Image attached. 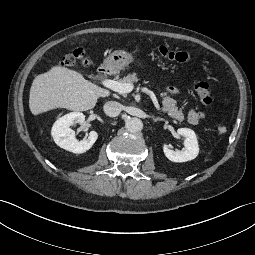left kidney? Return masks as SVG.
I'll use <instances>...</instances> for the list:
<instances>
[{"mask_svg": "<svg viewBox=\"0 0 255 255\" xmlns=\"http://www.w3.org/2000/svg\"><path fill=\"white\" fill-rule=\"evenodd\" d=\"M177 133L184 138L185 150L174 151L167 144H163L165 156L172 162H186L195 159L199 153V145L195 132L188 128H179Z\"/></svg>", "mask_w": 255, "mask_h": 255, "instance_id": "5707ae66", "label": "left kidney"}]
</instances>
